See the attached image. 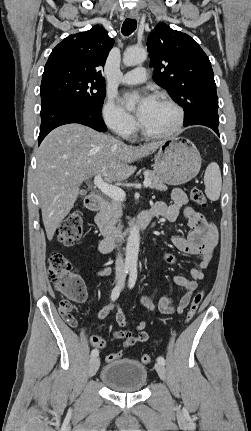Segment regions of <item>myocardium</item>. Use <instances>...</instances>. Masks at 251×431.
Segmentation results:
<instances>
[{
  "mask_svg": "<svg viewBox=\"0 0 251 431\" xmlns=\"http://www.w3.org/2000/svg\"><path fill=\"white\" fill-rule=\"evenodd\" d=\"M156 100L162 101L170 105L176 111V121L174 125L165 132L155 133L148 131L141 123L138 124L140 133L150 139H166L177 134L184 124L185 114L183 108L171 97L165 94H159L156 96Z\"/></svg>",
  "mask_w": 251,
  "mask_h": 431,
  "instance_id": "1",
  "label": "myocardium"
}]
</instances>
